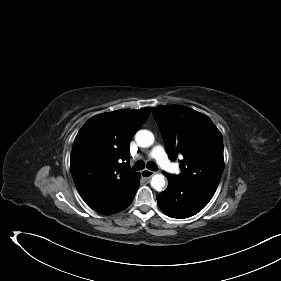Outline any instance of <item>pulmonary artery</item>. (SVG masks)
Returning a JSON list of instances; mask_svg holds the SVG:
<instances>
[{
    "label": "pulmonary artery",
    "mask_w": 281,
    "mask_h": 281,
    "mask_svg": "<svg viewBox=\"0 0 281 281\" xmlns=\"http://www.w3.org/2000/svg\"><path fill=\"white\" fill-rule=\"evenodd\" d=\"M150 156L157 160L159 165L166 171L174 172L176 169L174 168L173 164L168 159L164 149L161 146H155Z\"/></svg>",
    "instance_id": "pulmonary-artery-1"
}]
</instances>
